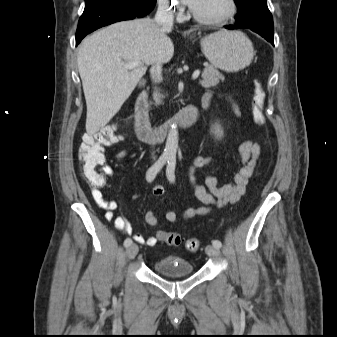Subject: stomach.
<instances>
[{"label": "stomach", "instance_id": "stomach-1", "mask_svg": "<svg viewBox=\"0 0 337 337\" xmlns=\"http://www.w3.org/2000/svg\"><path fill=\"white\" fill-rule=\"evenodd\" d=\"M201 49L212 66L226 72H238L250 65L254 48L240 31H220L201 40Z\"/></svg>", "mask_w": 337, "mask_h": 337}]
</instances>
